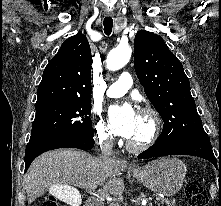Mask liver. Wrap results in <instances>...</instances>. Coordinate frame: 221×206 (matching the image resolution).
I'll return each mask as SVG.
<instances>
[{"mask_svg": "<svg viewBox=\"0 0 221 206\" xmlns=\"http://www.w3.org/2000/svg\"><path fill=\"white\" fill-rule=\"evenodd\" d=\"M126 166L124 160L93 157L75 149L46 152L33 161L24 177L28 204L56 187L77 192L74 187L88 189L100 185L105 192L121 196L124 181L120 176Z\"/></svg>", "mask_w": 221, "mask_h": 206, "instance_id": "1", "label": "liver"}]
</instances>
